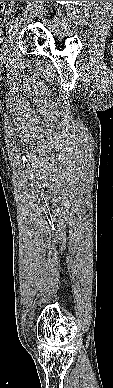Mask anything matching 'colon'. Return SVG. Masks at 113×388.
<instances>
[{
    "mask_svg": "<svg viewBox=\"0 0 113 388\" xmlns=\"http://www.w3.org/2000/svg\"><path fill=\"white\" fill-rule=\"evenodd\" d=\"M15 1H0V14L9 15L13 11Z\"/></svg>",
    "mask_w": 113,
    "mask_h": 388,
    "instance_id": "5ec220e1",
    "label": "colon"
}]
</instances>
